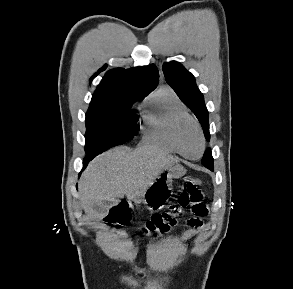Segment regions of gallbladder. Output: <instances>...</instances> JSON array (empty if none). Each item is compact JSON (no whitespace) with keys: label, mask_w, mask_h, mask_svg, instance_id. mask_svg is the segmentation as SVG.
I'll list each match as a JSON object with an SVG mask.
<instances>
[{"label":"gallbladder","mask_w":293,"mask_h":289,"mask_svg":"<svg viewBox=\"0 0 293 289\" xmlns=\"http://www.w3.org/2000/svg\"><path fill=\"white\" fill-rule=\"evenodd\" d=\"M94 210L101 216H104L106 214V209L101 205H94Z\"/></svg>","instance_id":"1"}]
</instances>
